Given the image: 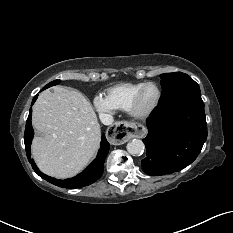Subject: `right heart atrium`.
<instances>
[{
	"instance_id": "d8ad5b80",
	"label": "right heart atrium",
	"mask_w": 233,
	"mask_h": 233,
	"mask_svg": "<svg viewBox=\"0 0 233 233\" xmlns=\"http://www.w3.org/2000/svg\"><path fill=\"white\" fill-rule=\"evenodd\" d=\"M93 103L97 112L102 116L112 114L115 110V108L109 103L107 98L103 95H96L93 100Z\"/></svg>"
}]
</instances>
